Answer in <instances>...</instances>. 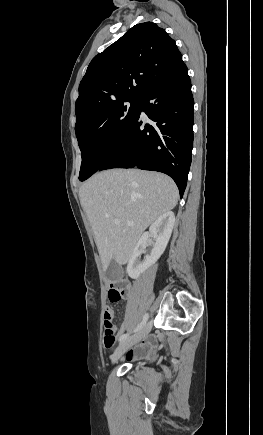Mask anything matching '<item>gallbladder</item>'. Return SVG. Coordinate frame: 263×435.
<instances>
[{"instance_id":"gallbladder-1","label":"gallbladder","mask_w":263,"mask_h":435,"mask_svg":"<svg viewBox=\"0 0 263 435\" xmlns=\"http://www.w3.org/2000/svg\"><path fill=\"white\" fill-rule=\"evenodd\" d=\"M106 277L110 281H118L121 280L123 277V270L120 267V265L115 261L112 260L106 271H105Z\"/></svg>"}]
</instances>
